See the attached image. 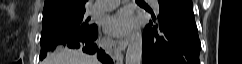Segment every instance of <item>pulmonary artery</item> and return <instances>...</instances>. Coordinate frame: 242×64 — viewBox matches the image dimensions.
Instances as JSON below:
<instances>
[{"label": "pulmonary artery", "mask_w": 242, "mask_h": 64, "mask_svg": "<svg viewBox=\"0 0 242 64\" xmlns=\"http://www.w3.org/2000/svg\"><path fill=\"white\" fill-rule=\"evenodd\" d=\"M153 6L158 9V1L150 0ZM119 5V0H98L95 4L99 10L107 11L116 8Z\"/></svg>", "instance_id": "e3ab8cb5"}]
</instances>
